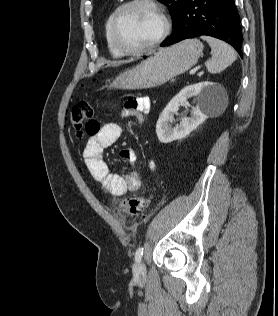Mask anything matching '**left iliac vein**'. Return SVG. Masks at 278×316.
Returning a JSON list of instances; mask_svg holds the SVG:
<instances>
[{"label": "left iliac vein", "mask_w": 278, "mask_h": 316, "mask_svg": "<svg viewBox=\"0 0 278 316\" xmlns=\"http://www.w3.org/2000/svg\"><path fill=\"white\" fill-rule=\"evenodd\" d=\"M133 271L136 277H143L146 273L145 264L143 262H137L133 267Z\"/></svg>", "instance_id": "1"}]
</instances>
